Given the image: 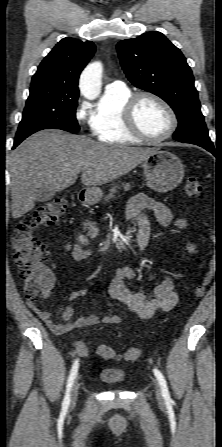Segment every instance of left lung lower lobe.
Segmentation results:
<instances>
[{
	"label": "left lung lower lobe",
	"mask_w": 222,
	"mask_h": 447,
	"mask_svg": "<svg viewBox=\"0 0 222 447\" xmlns=\"http://www.w3.org/2000/svg\"><path fill=\"white\" fill-rule=\"evenodd\" d=\"M196 145H199V146L205 148L206 150L210 151L212 154H215L213 144L209 145V144L200 143V144H196Z\"/></svg>",
	"instance_id": "obj_1"
}]
</instances>
